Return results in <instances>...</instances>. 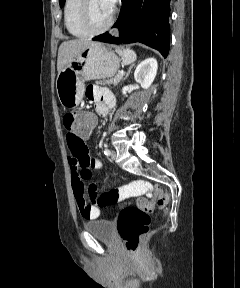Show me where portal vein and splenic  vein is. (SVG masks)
Here are the masks:
<instances>
[{"label":"portal vein and splenic vein","instance_id":"1","mask_svg":"<svg viewBox=\"0 0 240 288\" xmlns=\"http://www.w3.org/2000/svg\"><path fill=\"white\" fill-rule=\"evenodd\" d=\"M124 72L123 71H121V72H119V74L118 75H122Z\"/></svg>","mask_w":240,"mask_h":288}]
</instances>
